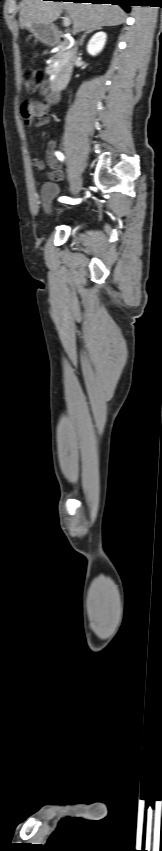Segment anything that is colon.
<instances>
[{
    "label": "colon",
    "mask_w": 162,
    "mask_h": 851,
    "mask_svg": "<svg viewBox=\"0 0 162 851\" xmlns=\"http://www.w3.org/2000/svg\"><path fill=\"white\" fill-rule=\"evenodd\" d=\"M24 81L29 92L35 91L42 82V75L36 70H27L24 73Z\"/></svg>",
    "instance_id": "1"
}]
</instances>
